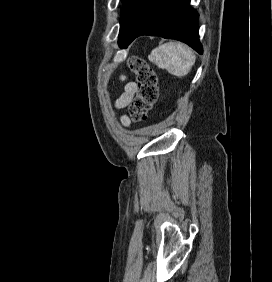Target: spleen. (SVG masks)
Here are the masks:
<instances>
[{"mask_svg":"<svg viewBox=\"0 0 272 282\" xmlns=\"http://www.w3.org/2000/svg\"><path fill=\"white\" fill-rule=\"evenodd\" d=\"M149 60L159 68L166 69L170 74L182 77L191 70L195 56L186 45L169 42L152 50Z\"/></svg>","mask_w":272,"mask_h":282,"instance_id":"obj_1","label":"spleen"}]
</instances>
